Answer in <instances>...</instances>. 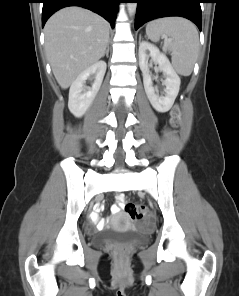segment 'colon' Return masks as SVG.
<instances>
[{"instance_id":"obj_1","label":"colon","mask_w":239,"mask_h":296,"mask_svg":"<svg viewBox=\"0 0 239 296\" xmlns=\"http://www.w3.org/2000/svg\"><path fill=\"white\" fill-rule=\"evenodd\" d=\"M179 116V109L175 107L171 112L169 121L171 127L176 128L179 125ZM124 209L132 220H141L148 215L146 207L138 203L127 202Z\"/></svg>"}]
</instances>
